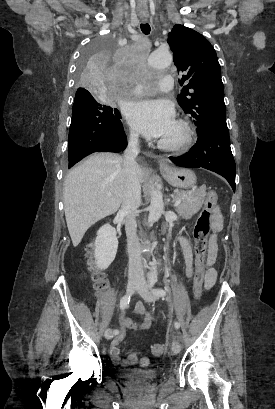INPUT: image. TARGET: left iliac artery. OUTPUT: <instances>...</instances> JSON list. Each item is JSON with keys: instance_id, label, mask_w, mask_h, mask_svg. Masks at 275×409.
<instances>
[{"instance_id": "44dca946", "label": "left iliac artery", "mask_w": 275, "mask_h": 409, "mask_svg": "<svg viewBox=\"0 0 275 409\" xmlns=\"http://www.w3.org/2000/svg\"><path fill=\"white\" fill-rule=\"evenodd\" d=\"M156 283H157V277H156V276H153V277L150 279V281H149V285H150V287L152 288L153 294H154L155 296H158V297H164V296H166V290H164V289H162V288H154V286L156 285ZM174 327H175V329H178V328L180 327V324L176 321V322L174 323Z\"/></svg>"}]
</instances>
